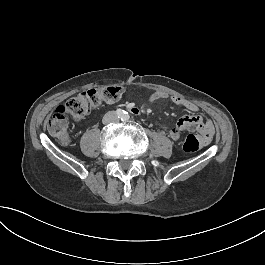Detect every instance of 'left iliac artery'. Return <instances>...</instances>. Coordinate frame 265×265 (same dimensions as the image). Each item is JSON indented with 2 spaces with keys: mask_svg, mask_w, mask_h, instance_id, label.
I'll return each instance as SVG.
<instances>
[{
  "mask_svg": "<svg viewBox=\"0 0 265 265\" xmlns=\"http://www.w3.org/2000/svg\"><path fill=\"white\" fill-rule=\"evenodd\" d=\"M130 116L128 115V113L126 112L125 115L123 116L122 120L123 121H127L129 120Z\"/></svg>",
  "mask_w": 265,
  "mask_h": 265,
  "instance_id": "44dca946",
  "label": "left iliac artery"
}]
</instances>
